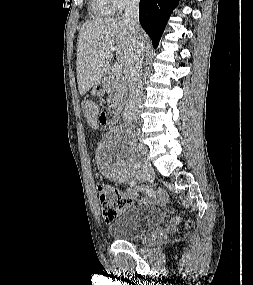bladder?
<instances>
[{
  "label": "bladder",
  "instance_id": "obj_1",
  "mask_svg": "<svg viewBox=\"0 0 253 285\" xmlns=\"http://www.w3.org/2000/svg\"><path fill=\"white\" fill-rule=\"evenodd\" d=\"M163 221L160 209L130 205L108 225V233L116 240L131 241L157 228Z\"/></svg>",
  "mask_w": 253,
  "mask_h": 285
}]
</instances>
